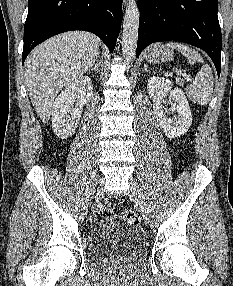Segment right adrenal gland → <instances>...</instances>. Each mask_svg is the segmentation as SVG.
I'll use <instances>...</instances> for the list:
<instances>
[{
	"label": "right adrenal gland",
	"instance_id": "1",
	"mask_svg": "<svg viewBox=\"0 0 233 286\" xmlns=\"http://www.w3.org/2000/svg\"><path fill=\"white\" fill-rule=\"evenodd\" d=\"M99 67H100V62L97 60L95 66H94V67H91V68L89 69V71H95V72L98 73V72H99Z\"/></svg>",
	"mask_w": 233,
	"mask_h": 286
}]
</instances>
